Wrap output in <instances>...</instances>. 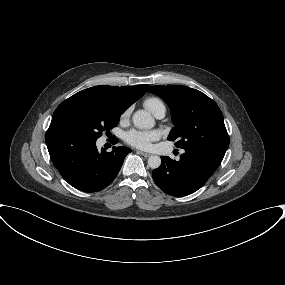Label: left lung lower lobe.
<instances>
[{"label":"left lung lower lobe","mask_w":285,"mask_h":285,"mask_svg":"<svg viewBox=\"0 0 285 285\" xmlns=\"http://www.w3.org/2000/svg\"><path fill=\"white\" fill-rule=\"evenodd\" d=\"M173 161L161 157V165L153 170L152 177L165 193L181 197L200 189L221 164L225 152L208 148H188Z\"/></svg>","instance_id":"left-lung-lower-lobe-1"}]
</instances>
